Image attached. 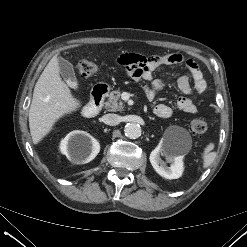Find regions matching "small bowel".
<instances>
[{
    "mask_svg": "<svg viewBox=\"0 0 247 247\" xmlns=\"http://www.w3.org/2000/svg\"><path fill=\"white\" fill-rule=\"evenodd\" d=\"M118 63L123 66L136 81L142 83L148 99H154L155 95L164 88L166 82L163 79L153 77L155 70L164 67L185 63L190 75H182L177 79L178 89L184 94L177 99V107L185 113H196L197 108L191 96L194 92L201 94L206 90L207 84L197 63L192 59H187L178 53L166 55H151L148 57L135 53H126L118 58ZM191 79L193 88L191 87ZM154 113L160 118H169L172 109L166 104H157Z\"/></svg>",
    "mask_w": 247,
    "mask_h": 247,
    "instance_id": "small-bowel-1",
    "label": "small bowel"
}]
</instances>
